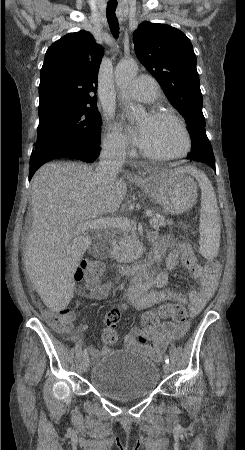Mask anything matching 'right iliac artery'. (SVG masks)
Here are the masks:
<instances>
[{
    "label": "right iliac artery",
    "mask_w": 245,
    "mask_h": 450,
    "mask_svg": "<svg viewBox=\"0 0 245 450\" xmlns=\"http://www.w3.org/2000/svg\"><path fill=\"white\" fill-rule=\"evenodd\" d=\"M87 356V349H85L84 351H83V357H86Z\"/></svg>",
    "instance_id": "right-iliac-artery-1"
}]
</instances>
